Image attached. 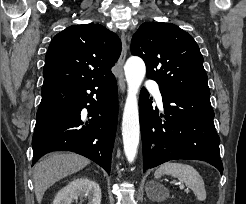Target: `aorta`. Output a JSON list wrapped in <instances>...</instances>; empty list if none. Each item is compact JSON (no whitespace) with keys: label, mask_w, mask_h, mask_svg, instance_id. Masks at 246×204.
Returning a JSON list of instances; mask_svg holds the SVG:
<instances>
[{"label":"aorta","mask_w":246,"mask_h":204,"mask_svg":"<svg viewBox=\"0 0 246 204\" xmlns=\"http://www.w3.org/2000/svg\"><path fill=\"white\" fill-rule=\"evenodd\" d=\"M127 81V98L122 119V136L124 152L132 163L139 145L140 125L137 94L146 74L144 61L138 56H131L124 66Z\"/></svg>","instance_id":"762f6f07"}]
</instances>
